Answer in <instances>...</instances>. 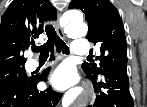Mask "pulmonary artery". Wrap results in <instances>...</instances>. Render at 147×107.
<instances>
[{
	"mask_svg": "<svg viewBox=\"0 0 147 107\" xmlns=\"http://www.w3.org/2000/svg\"><path fill=\"white\" fill-rule=\"evenodd\" d=\"M90 50V45L88 42L82 39L74 40L72 45V52L78 55L88 54ZM38 66V62L34 59L28 61V69H35Z\"/></svg>",
	"mask_w": 147,
	"mask_h": 107,
	"instance_id": "1",
	"label": "pulmonary artery"
}]
</instances>
